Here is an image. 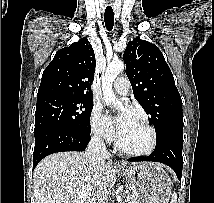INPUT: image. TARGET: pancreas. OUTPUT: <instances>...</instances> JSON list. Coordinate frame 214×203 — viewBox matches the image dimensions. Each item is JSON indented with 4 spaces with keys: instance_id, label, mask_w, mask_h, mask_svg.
<instances>
[{
    "instance_id": "cf45deb5",
    "label": "pancreas",
    "mask_w": 214,
    "mask_h": 203,
    "mask_svg": "<svg viewBox=\"0 0 214 203\" xmlns=\"http://www.w3.org/2000/svg\"><path fill=\"white\" fill-rule=\"evenodd\" d=\"M128 203H138V200H137L135 194L130 196V199H129Z\"/></svg>"
}]
</instances>
